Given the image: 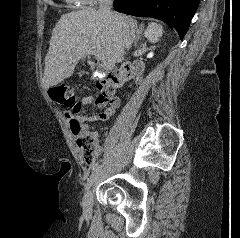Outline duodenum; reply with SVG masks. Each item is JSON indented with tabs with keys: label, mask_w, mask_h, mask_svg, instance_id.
Returning <instances> with one entry per match:
<instances>
[{
	"label": "duodenum",
	"mask_w": 240,
	"mask_h": 238,
	"mask_svg": "<svg viewBox=\"0 0 240 238\" xmlns=\"http://www.w3.org/2000/svg\"><path fill=\"white\" fill-rule=\"evenodd\" d=\"M128 66H129V65H128V64H126V65H124V66H123V68H127Z\"/></svg>",
	"instance_id": "duodenum-1"
}]
</instances>
